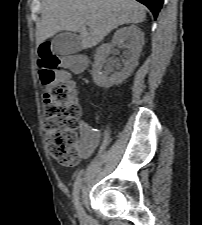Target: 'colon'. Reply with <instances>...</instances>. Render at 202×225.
Listing matches in <instances>:
<instances>
[{
  "mask_svg": "<svg viewBox=\"0 0 202 225\" xmlns=\"http://www.w3.org/2000/svg\"><path fill=\"white\" fill-rule=\"evenodd\" d=\"M54 39L42 41L38 51L43 92V130L50 156L63 166H73L78 157V130L81 107L73 83L57 73L61 60L55 53ZM64 61L82 66L75 54H67Z\"/></svg>",
  "mask_w": 202,
  "mask_h": 225,
  "instance_id": "colon-1",
  "label": "colon"
}]
</instances>
